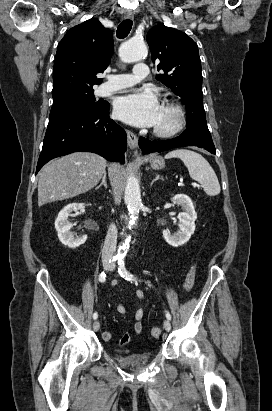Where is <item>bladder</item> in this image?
Instances as JSON below:
<instances>
[{
  "label": "bladder",
  "mask_w": 272,
  "mask_h": 411,
  "mask_svg": "<svg viewBox=\"0 0 272 411\" xmlns=\"http://www.w3.org/2000/svg\"><path fill=\"white\" fill-rule=\"evenodd\" d=\"M152 353H134L129 355H114V361L125 368H137L148 364Z\"/></svg>",
  "instance_id": "bladder-1"
}]
</instances>
